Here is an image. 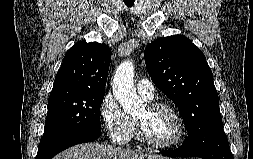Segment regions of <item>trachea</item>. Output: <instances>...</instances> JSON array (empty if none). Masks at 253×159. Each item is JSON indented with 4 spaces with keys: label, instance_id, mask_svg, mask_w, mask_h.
<instances>
[{
    "label": "trachea",
    "instance_id": "1",
    "mask_svg": "<svg viewBox=\"0 0 253 159\" xmlns=\"http://www.w3.org/2000/svg\"><path fill=\"white\" fill-rule=\"evenodd\" d=\"M125 4L127 5V7H131L134 4L133 0H124Z\"/></svg>",
    "mask_w": 253,
    "mask_h": 159
}]
</instances>
